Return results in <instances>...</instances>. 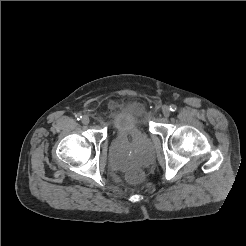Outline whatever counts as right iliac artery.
I'll use <instances>...</instances> for the list:
<instances>
[{
	"instance_id": "right-iliac-artery-1",
	"label": "right iliac artery",
	"mask_w": 246,
	"mask_h": 246,
	"mask_svg": "<svg viewBox=\"0 0 246 246\" xmlns=\"http://www.w3.org/2000/svg\"><path fill=\"white\" fill-rule=\"evenodd\" d=\"M75 118H76L77 120H80V119H82V115H81L80 113H77V114L75 115Z\"/></svg>"
}]
</instances>
